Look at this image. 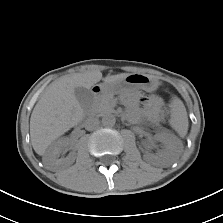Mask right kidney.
Here are the masks:
<instances>
[{"label": "right kidney", "mask_w": 223, "mask_h": 223, "mask_svg": "<svg viewBox=\"0 0 223 223\" xmlns=\"http://www.w3.org/2000/svg\"><path fill=\"white\" fill-rule=\"evenodd\" d=\"M69 142L66 138H61L54 142L43 156L44 165L52 169L59 165H71L74 163V156L69 155L66 158H58L61 152L68 146Z\"/></svg>", "instance_id": "obj_1"}]
</instances>
